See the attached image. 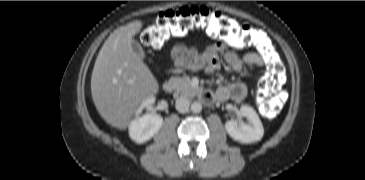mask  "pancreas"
Here are the masks:
<instances>
[{
	"mask_svg": "<svg viewBox=\"0 0 365 180\" xmlns=\"http://www.w3.org/2000/svg\"><path fill=\"white\" fill-rule=\"evenodd\" d=\"M170 81L174 84L176 93L192 97L199 92V88L192 86L190 78L187 76L172 77Z\"/></svg>",
	"mask_w": 365,
	"mask_h": 180,
	"instance_id": "1",
	"label": "pancreas"
}]
</instances>
